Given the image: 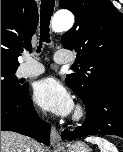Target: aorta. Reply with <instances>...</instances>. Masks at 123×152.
Instances as JSON below:
<instances>
[{"label":"aorta","mask_w":123,"mask_h":152,"mask_svg":"<svg viewBox=\"0 0 123 152\" xmlns=\"http://www.w3.org/2000/svg\"><path fill=\"white\" fill-rule=\"evenodd\" d=\"M74 16L69 11H59L52 19V30L54 32H64L72 28Z\"/></svg>","instance_id":"aorta-1"}]
</instances>
